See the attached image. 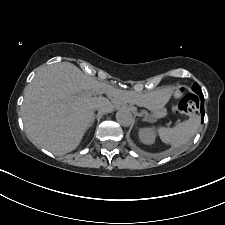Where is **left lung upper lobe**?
<instances>
[{
	"label": "left lung upper lobe",
	"mask_w": 225,
	"mask_h": 225,
	"mask_svg": "<svg viewBox=\"0 0 225 225\" xmlns=\"http://www.w3.org/2000/svg\"><path fill=\"white\" fill-rule=\"evenodd\" d=\"M192 89L196 94H202V91L197 83H194V85L192 86Z\"/></svg>",
	"instance_id": "5c2ea615"
}]
</instances>
